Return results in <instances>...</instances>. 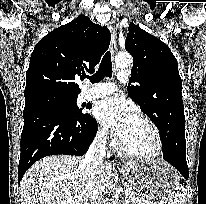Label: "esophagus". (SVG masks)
Here are the masks:
<instances>
[{"label":"esophagus","instance_id":"34e87169","mask_svg":"<svg viewBox=\"0 0 206 204\" xmlns=\"http://www.w3.org/2000/svg\"><path fill=\"white\" fill-rule=\"evenodd\" d=\"M108 29L111 33V45H110V49H111V53L114 56L115 53L117 52L118 46H117V36H116V31L113 28V26L111 24H108Z\"/></svg>","mask_w":206,"mask_h":204}]
</instances>
